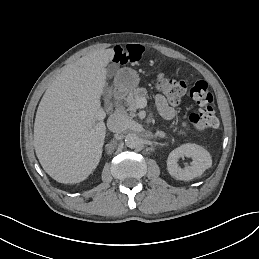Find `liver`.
<instances>
[{"label":"liver","mask_w":259,"mask_h":259,"mask_svg":"<svg viewBox=\"0 0 259 259\" xmlns=\"http://www.w3.org/2000/svg\"><path fill=\"white\" fill-rule=\"evenodd\" d=\"M113 49L92 50L66 66L45 91L34 123L43 169L60 183H79L97 167L106 127L96 123Z\"/></svg>","instance_id":"liver-1"}]
</instances>
